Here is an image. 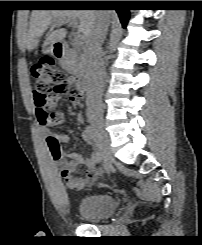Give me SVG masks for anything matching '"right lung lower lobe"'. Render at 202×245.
<instances>
[{"instance_id":"98d812e1","label":"right lung lower lobe","mask_w":202,"mask_h":245,"mask_svg":"<svg viewBox=\"0 0 202 245\" xmlns=\"http://www.w3.org/2000/svg\"><path fill=\"white\" fill-rule=\"evenodd\" d=\"M125 1H86L83 2V6H95V7H114L117 11L122 26L126 28L129 20V10L125 7Z\"/></svg>"}]
</instances>
